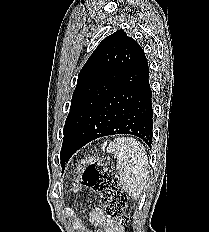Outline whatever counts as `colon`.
I'll return each instance as SVG.
<instances>
[{
  "label": "colon",
  "mask_w": 209,
  "mask_h": 232,
  "mask_svg": "<svg viewBox=\"0 0 209 232\" xmlns=\"http://www.w3.org/2000/svg\"><path fill=\"white\" fill-rule=\"evenodd\" d=\"M82 183L90 187L105 203L107 216L113 221L126 219L127 196L113 173L98 159H91L82 173Z\"/></svg>",
  "instance_id": "5ec220e1"
}]
</instances>
